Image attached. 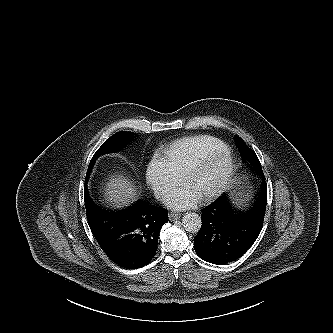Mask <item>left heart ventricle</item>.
<instances>
[{
  "label": "left heart ventricle",
  "instance_id": "1",
  "mask_svg": "<svg viewBox=\"0 0 333 333\" xmlns=\"http://www.w3.org/2000/svg\"><path fill=\"white\" fill-rule=\"evenodd\" d=\"M225 170V160L217 158L195 175L187 184L199 196L213 189L221 180Z\"/></svg>",
  "mask_w": 333,
  "mask_h": 333
}]
</instances>
